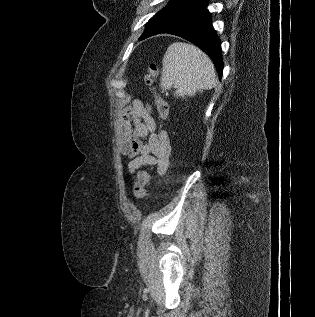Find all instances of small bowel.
Here are the masks:
<instances>
[{
	"label": "small bowel",
	"mask_w": 315,
	"mask_h": 317,
	"mask_svg": "<svg viewBox=\"0 0 315 317\" xmlns=\"http://www.w3.org/2000/svg\"><path fill=\"white\" fill-rule=\"evenodd\" d=\"M116 146L121 155L130 159V172L150 166L162 176L168 170L171 156L168 135L157 128L151 108L140 101L124 108L117 119Z\"/></svg>",
	"instance_id": "c3829d8e"
}]
</instances>
